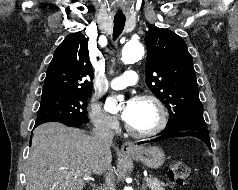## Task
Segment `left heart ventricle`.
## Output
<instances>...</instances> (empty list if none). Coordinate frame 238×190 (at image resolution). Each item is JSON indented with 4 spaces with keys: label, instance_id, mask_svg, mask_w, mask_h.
<instances>
[{
    "label": "left heart ventricle",
    "instance_id": "b2bd125f",
    "mask_svg": "<svg viewBox=\"0 0 238 190\" xmlns=\"http://www.w3.org/2000/svg\"><path fill=\"white\" fill-rule=\"evenodd\" d=\"M157 120V111L150 102L135 100L132 115L127 123L135 130L146 131L153 128Z\"/></svg>",
    "mask_w": 238,
    "mask_h": 190
}]
</instances>
